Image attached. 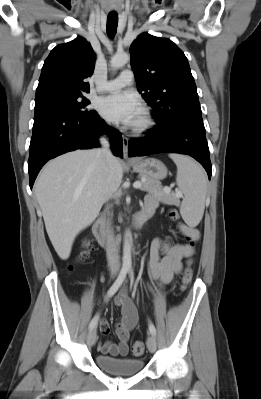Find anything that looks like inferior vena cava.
Returning <instances> with one entry per match:
<instances>
[{
	"instance_id": "602c4592",
	"label": "inferior vena cava",
	"mask_w": 261,
	"mask_h": 399,
	"mask_svg": "<svg viewBox=\"0 0 261 399\" xmlns=\"http://www.w3.org/2000/svg\"><path fill=\"white\" fill-rule=\"evenodd\" d=\"M100 143L102 148L99 149V154L105 159L106 162L109 163L113 157L110 150L109 141L106 137H101ZM106 255L111 272L114 274L117 273L120 269L118 240L115 238L113 229L111 228L108 230L107 234Z\"/></svg>"
}]
</instances>
